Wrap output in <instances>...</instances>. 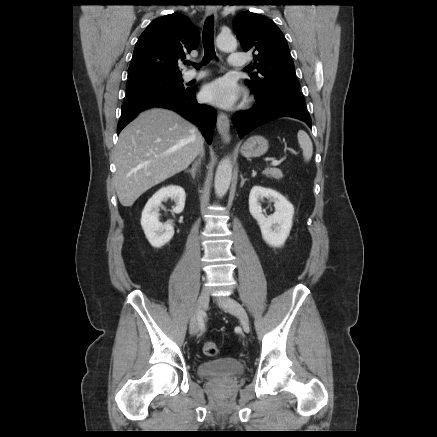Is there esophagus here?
<instances>
[{"mask_svg":"<svg viewBox=\"0 0 437 437\" xmlns=\"http://www.w3.org/2000/svg\"><path fill=\"white\" fill-rule=\"evenodd\" d=\"M206 15L207 16H216L217 15V10L215 7L213 6H209L206 8ZM217 129L218 132L221 136V138L223 139L224 142H229L230 141V120L228 118V116L225 113H218L217 116Z\"/></svg>","mask_w":437,"mask_h":437,"instance_id":"1","label":"esophagus"}]
</instances>
